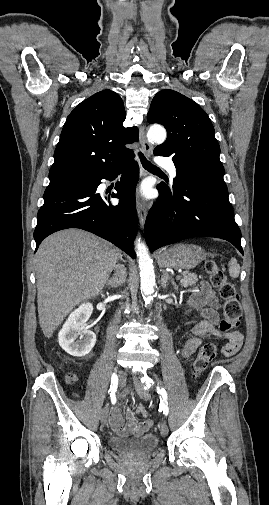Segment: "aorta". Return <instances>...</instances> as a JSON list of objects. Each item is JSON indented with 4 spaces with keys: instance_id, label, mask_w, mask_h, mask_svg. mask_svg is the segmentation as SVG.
Here are the masks:
<instances>
[{
    "instance_id": "762f6f07",
    "label": "aorta",
    "mask_w": 269,
    "mask_h": 505,
    "mask_svg": "<svg viewBox=\"0 0 269 505\" xmlns=\"http://www.w3.org/2000/svg\"><path fill=\"white\" fill-rule=\"evenodd\" d=\"M151 142L161 144L166 140V130L160 125H153L147 133ZM135 251L138 257V264L141 278V291L146 304H150L155 293V272L153 260L151 259L147 246L139 239H136Z\"/></svg>"
}]
</instances>
